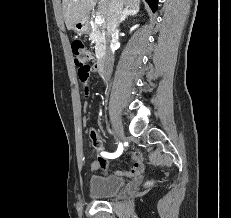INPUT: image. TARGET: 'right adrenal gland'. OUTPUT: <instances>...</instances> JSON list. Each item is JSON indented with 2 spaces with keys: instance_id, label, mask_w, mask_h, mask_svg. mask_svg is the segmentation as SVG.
Listing matches in <instances>:
<instances>
[{
  "instance_id": "2a0ac1e0",
  "label": "right adrenal gland",
  "mask_w": 231,
  "mask_h": 218,
  "mask_svg": "<svg viewBox=\"0 0 231 218\" xmlns=\"http://www.w3.org/2000/svg\"><path fill=\"white\" fill-rule=\"evenodd\" d=\"M138 11H139L138 9L131 10V9L126 8V9H125V14H124L123 18L120 20V23H122L123 21H125V19H126L127 17H129V16H136L137 13H138ZM120 23H119V24H120Z\"/></svg>"
}]
</instances>
